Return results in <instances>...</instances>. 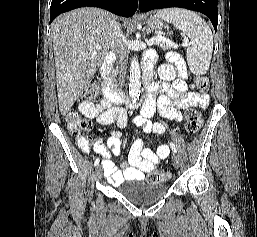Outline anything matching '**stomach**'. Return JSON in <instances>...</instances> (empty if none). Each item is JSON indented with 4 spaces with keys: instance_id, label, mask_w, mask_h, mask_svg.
Segmentation results:
<instances>
[{
    "instance_id": "stomach-1",
    "label": "stomach",
    "mask_w": 257,
    "mask_h": 237,
    "mask_svg": "<svg viewBox=\"0 0 257 237\" xmlns=\"http://www.w3.org/2000/svg\"><path fill=\"white\" fill-rule=\"evenodd\" d=\"M148 26L152 30H161L163 28V22L158 18L150 16L147 20Z\"/></svg>"
}]
</instances>
